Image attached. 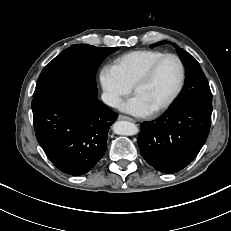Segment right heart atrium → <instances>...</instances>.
<instances>
[{"instance_id":"1","label":"right heart atrium","mask_w":231,"mask_h":231,"mask_svg":"<svg viewBox=\"0 0 231 231\" xmlns=\"http://www.w3.org/2000/svg\"><path fill=\"white\" fill-rule=\"evenodd\" d=\"M102 97L106 104L118 107L122 99L131 91L129 86L111 65L103 66L99 71Z\"/></svg>"}]
</instances>
